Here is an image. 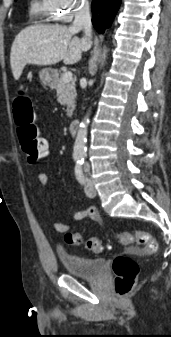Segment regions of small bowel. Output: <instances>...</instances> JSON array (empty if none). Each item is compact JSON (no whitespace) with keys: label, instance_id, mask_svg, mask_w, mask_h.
I'll return each mask as SVG.
<instances>
[{"label":"small bowel","instance_id":"c3829d8e","mask_svg":"<svg viewBox=\"0 0 171 337\" xmlns=\"http://www.w3.org/2000/svg\"><path fill=\"white\" fill-rule=\"evenodd\" d=\"M38 181L43 187H47L49 181L48 175L44 172H40L38 174ZM83 219H90L98 223L102 222L101 216L95 208H88L86 210L77 211L74 213L73 220L75 222L81 221ZM53 228L59 233H66L71 229V225L55 221L53 222Z\"/></svg>","mask_w":171,"mask_h":337}]
</instances>
